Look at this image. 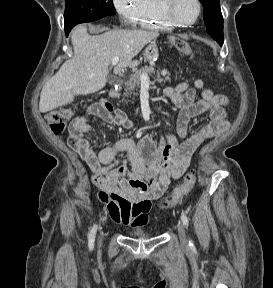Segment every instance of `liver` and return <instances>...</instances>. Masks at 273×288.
<instances>
[{
	"label": "liver",
	"instance_id": "liver-1",
	"mask_svg": "<svg viewBox=\"0 0 273 288\" xmlns=\"http://www.w3.org/2000/svg\"><path fill=\"white\" fill-rule=\"evenodd\" d=\"M159 33L146 30H110L92 36L85 25L71 32L74 56L45 83L40 94L39 111L46 113L73 102L77 95L101 90L107 82L109 65L119 57L115 74L139 65L137 54Z\"/></svg>",
	"mask_w": 273,
	"mask_h": 288
}]
</instances>
